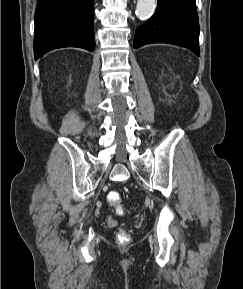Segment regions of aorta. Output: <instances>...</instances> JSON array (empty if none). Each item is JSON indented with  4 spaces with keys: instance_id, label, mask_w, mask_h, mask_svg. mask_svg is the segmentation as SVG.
I'll return each mask as SVG.
<instances>
[{
    "instance_id": "1",
    "label": "aorta",
    "mask_w": 243,
    "mask_h": 289,
    "mask_svg": "<svg viewBox=\"0 0 243 289\" xmlns=\"http://www.w3.org/2000/svg\"><path fill=\"white\" fill-rule=\"evenodd\" d=\"M156 0H138L136 15L139 19H147L154 10Z\"/></svg>"
}]
</instances>
